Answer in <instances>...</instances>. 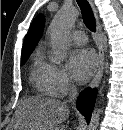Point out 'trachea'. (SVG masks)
Returning a JSON list of instances; mask_svg holds the SVG:
<instances>
[{
  "label": "trachea",
  "instance_id": "1",
  "mask_svg": "<svg viewBox=\"0 0 123 130\" xmlns=\"http://www.w3.org/2000/svg\"><path fill=\"white\" fill-rule=\"evenodd\" d=\"M76 1L81 9L83 20L86 27L90 31L95 32L96 22H95L94 14H93L90 4L88 3L87 0H76Z\"/></svg>",
  "mask_w": 123,
  "mask_h": 130
}]
</instances>
